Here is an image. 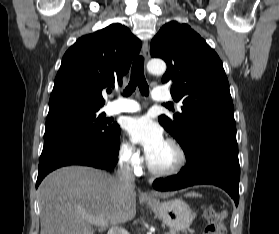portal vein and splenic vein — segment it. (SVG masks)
Segmentation results:
<instances>
[{
    "label": "portal vein and splenic vein",
    "instance_id": "obj_1",
    "mask_svg": "<svg viewBox=\"0 0 279 234\" xmlns=\"http://www.w3.org/2000/svg\"><path fill=\"white\" fill-rule=\"evenodd\" d=\"M84 217L92 224H95L97 226H104L106 224V221L103 217H96V216H93V215H89V214H86L84 215Z\"/></svg>",
    "mask_w": 279,
    "mask_h": 234
}]
</instances>
